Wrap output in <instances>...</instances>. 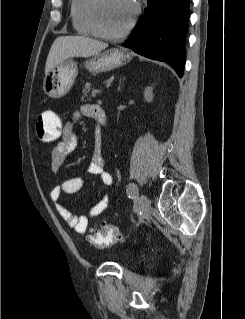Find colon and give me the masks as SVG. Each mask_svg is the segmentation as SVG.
Returning a JSON list of instances; mask_svg holds the SVG:
<instances>
[{"instance_id": "obj_1", "label": "colon", "mask_w": 245, "mask_h": 319, "mask_svg": "<svg viewBox=\"0 0 245 319\" xmlns=\"http://www.w3.org/2000/svg\"><path fill=\"white\" fill-rule=\"evenodd\" d=\"M63 126L57 114L51 111L41 113L36 120V134L39 141L53 143L62 134ZM88 240L98 248H107L121 239L116 226L102 224L99 229H91Z\"/></svg>"}]
</instances>
